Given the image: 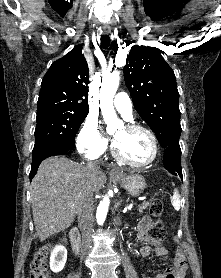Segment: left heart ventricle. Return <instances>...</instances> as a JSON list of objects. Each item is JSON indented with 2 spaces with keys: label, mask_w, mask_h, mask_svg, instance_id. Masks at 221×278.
Instances as JSON below:
<instances>
[{
  "label": "left heart ventricle",
  "mask_w": 221,
  "mask_h": 278,
  "mask_svg": "<svg viewBox=\"0 0 221 278\" xmlns=\"http://www.w3.org/2000/svg\"><path fill=\"white\" fill-rule=\"evenodd\" d=\"M118 151L131 162L144 163L153 153L149 136L141 131H129L125 127L114 133Z\"/></svg>",
  "instance_id": "left-heart-ventricle-1"
}]
</instances>
